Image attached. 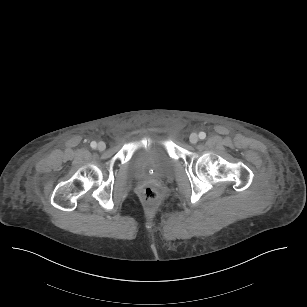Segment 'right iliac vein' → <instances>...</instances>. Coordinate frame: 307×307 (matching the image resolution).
Listing matches in <instances>:
<instances>
[{"label":"right iliac vein","instance_id":"1","mask_svg":"<svg viewBox=\"0 0 307 307\" xmlns=\"http://www.w3.org/2000/svg\"><path fill=\"white\" fill-rule=\"evenodd\" d=\"M97 148H98L99 151H103V150L106 149V144L104 142L100 141L97 145Z\"/></svg>","mask_w":307,"mask_h":307}]
</instances>
